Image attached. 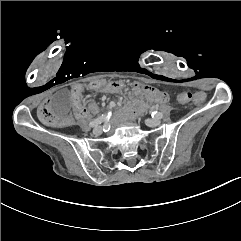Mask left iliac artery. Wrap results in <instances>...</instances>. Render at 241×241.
Instances as JSON below:
<instances>
[{"mask_svg":"<svg viewBox=\"0 0 241 241\" xmlns=\"http://www.w3.org/2000/svg\"><path fill=\"white\" fill-rule=\"evenodd\" d=\"M152 117L153 118H157V119H161L163 117V114L157 111L152 112Z\"/></svg>","mask_w":241,"mask_h":241,"instance_id":"obj_1","label":"left iliac artery"}]
</instances>
